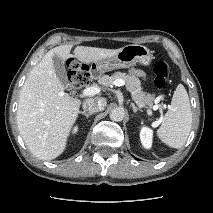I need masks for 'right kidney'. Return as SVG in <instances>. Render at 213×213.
<instances>
[{
	"mask_svg": "<svg viewBox=\"0 0 213 213\" xmlns=\"http://www.w3.org/2000/svg\"><path fill=\"white\" fill-rule=\"evenodd\" d=\"M76 131H77V128L75 127L74 132H76Z\"/></svg>",
	"mask_w": 213,
	"mask_h": 213,
	"instance_id": "ca27d5eb",
	"label": "right kidney"
}]
</instances>
